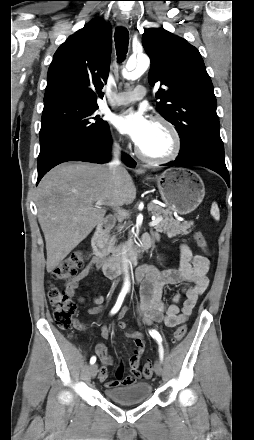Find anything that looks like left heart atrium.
Here are the masks:
<instances>
[{"mask_svg": "<svg viewBox=\"0 0 254 440\" xmlns=\"http://www.w3.org/2000/svg\"><path fill=\"white\" fill-rule=\"evenodd\" d=\"M113 124L139 147L149 135L153 121L141 110L127 109L114 117Z\"/></svg>", "mask_w": 254, "mask_h": 440, "instance_id": "left-heart-atrium-1", "label": "left heart atrium"}]
</instances>
